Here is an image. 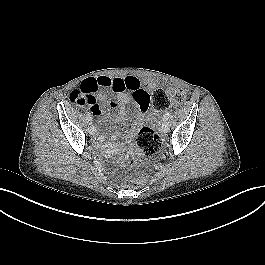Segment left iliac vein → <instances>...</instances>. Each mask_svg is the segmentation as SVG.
<instances>
[{"mask_svg": "<svg viewBox=\"0 0 265 265\" xmlns=\"http://www.w3.org/2000/svg\"><path fill=\"white\" fill-rule=\"evenodd\" d=\"M169 129H170V126H169L168 121L164 120L163 123H162V131L164 133H167V132H169Z\"/></svg>", "mask_w": 265, "mask_h": 265, "instance_id": "left-iliac-vein-1", "label": "left iliac vein"}]
</instances>
